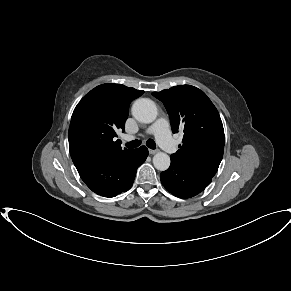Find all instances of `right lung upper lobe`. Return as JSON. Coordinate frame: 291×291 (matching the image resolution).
Returning a JSON list of instances; mask_svg holds the SVG:
<instances>
[{"label":"right lung upper lobe","instance_id":"obj_1","mask_svg":"<svg viewBox=\"0 0 291 291\" xmlns=\"http://www.w3.org/2000/svg\"><path fill=\"white\" fill-rule=\"evenodd\" d=\"M142 90L121 84H102L91 90L76 106L69 127L70 154L113 159L129 150L115 141L124 131L129 104Z\"/></svg>","mask_w":291,"mask_h":291}]
</instances>
